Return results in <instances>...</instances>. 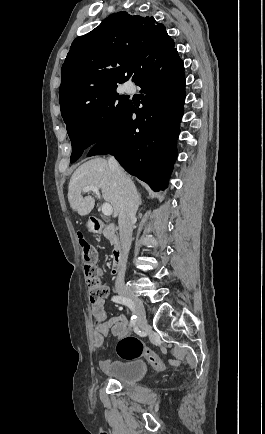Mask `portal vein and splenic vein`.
<instances>
[{
    "label": "portal vein and splenic vein",
    "mask_w": 265,
    "mask_h": 434,
    "mask_svg": "<svg viewBox=\"0 0 265 434\" xmlns=\"http://www.w3.org/2000/svg\"><path fill=\"white\" fill-rule=\"evenodd\" d=\"M83 192H94V194L100 198L99 188H97V186H85V188H83ZM101 210L104 216H111V214H113V208L111 204H103Z\"/></svg>",
    "instance_id": "portal-vein-and-splenic-vein-1"
}]
</instances>
